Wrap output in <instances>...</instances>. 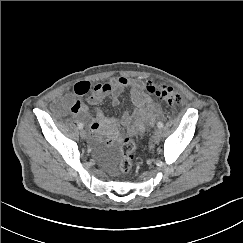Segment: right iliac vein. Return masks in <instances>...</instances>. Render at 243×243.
Returning <instances> with one entry per match:
<instances>
[{
    "mask_svg": "<svg viewBox=\"0 0 243 243\" xmlns=\"http://www.w3.org/2000/svg\"><path fill=\"white\" fill-rule=\"evenodd\" d=\"M80 136H81L82 138H86V137H87V132H86L84 129H82V130L80 131Z\"/></svg>",
    "mask_w": 243,
    "mask_h": 243,
    "instance_id": "obj_1",
    "label": "right iliac vein"
}]
</instances>
